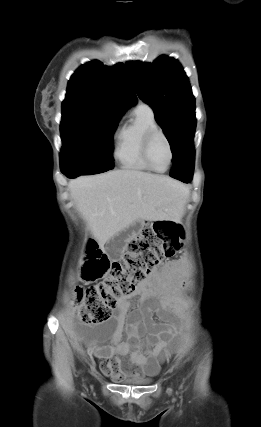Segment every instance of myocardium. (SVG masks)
Segmentation results:
<instances>
[{"label": "myocardium", "mask_w": 261, "mask_h": 427, "mask_svg": "<svg viewBox=\"0 0 261 427\" xmlns=\"http://www.w3.org/2000/svg\"><path fill=\"white\" fill-rule=\"evenodd\" d=\"M157 136H161L165 140V142L167 143L168 149H169V153H170V158H169V162L167 164V167L163 170H159V169L155 168L154 165L152 164V161L150 158L151 145ZM142 157H143L145 163L148 165V167L152 171H155L158 173H163V172H166L171 167L173 160H174L173 146H172V143H171L169 137L166 135V133L163 130H161L159 128H155V129H152L149 132H147V134L144 136V139H143Z\"/></svg>", "instance_id": "myocardium-1"}]
</instances>
